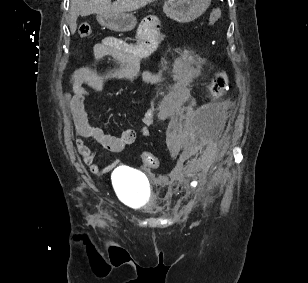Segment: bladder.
I'll list each match as a JSON object with an SVG mask.
<instances>
[{"instance_id": "1", "label": "bladder", "mask_w": 308, "mask_h": 283, "mask_svg": "<svg viewBox=\"0 0 308 283\" xmlns=\"http://www.w3.org/2000/svg\"><path fill=\"white\" fill-rule=\"evenodd\" d=\"M112 181L119 198L135 208H145L151 201V189L147 178L133 169L118 167Z\"/></svg>"}]
</instances>
